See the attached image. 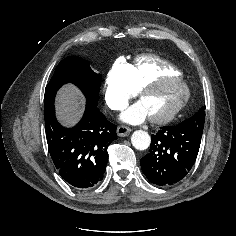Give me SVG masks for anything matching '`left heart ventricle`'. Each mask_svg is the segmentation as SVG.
Here are the masks:
<instances>
[{"label": "left heart ventricle", "instance_id": "1", "mask_svg": "<svg viewBox=\"0 0 236 236\" xmlns=\"http://www.w3.org/2000/svg\"><path fill=\"white\" fill-rule=\"evenodd\" d=\"M182 87L176 82H164L151 91L143 94L140 101L149 116H160L167 113L180 99Z\"/></svg>", "mask_w": 236, "mask_h": 236}]
</instances>
